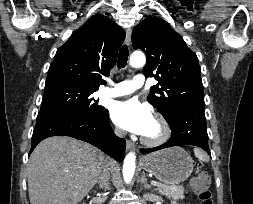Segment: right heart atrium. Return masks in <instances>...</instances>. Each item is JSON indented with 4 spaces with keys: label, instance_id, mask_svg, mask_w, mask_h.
<instances>
[{
    "label": "right heart atrium",
    "instance_id": "obj_1",
    "mask_svg": "<svg viewBox=\"0 0 253 204\" xmlns=\"http://www.w3.org/2000/svg\"><path fill=\"white\" fill-rule=\"evenodd\" d=\"M115 133L117 135H121L122 134V132H121V130L119 128H115Z\"/></svg>",
    "mask_w": 253,
    "mask_h": 204
}]
</instances>
